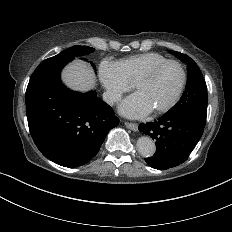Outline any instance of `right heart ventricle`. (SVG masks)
I'll return each instance as SVG.
<instances>
[{
	"label": "right heart ventricle",
	"instance_id": "1",
	"mask_svg": "<svg viewBox=\"0 0 232 232\" xmlns=\"http://www.w3.org/2000/svg\"><path fill=\"white\" fill-rule=\"evenodd\" d=\"M162 53L156 51H143L129 55L118 61L120 73L125 82L130 85L141 74L154 65L167 60Z\"/></svg>",
	"mask_w": 232,
	"mask_h": 232
}]
</instances>
